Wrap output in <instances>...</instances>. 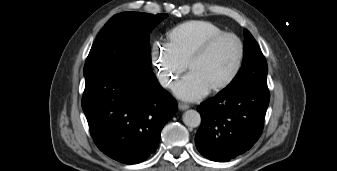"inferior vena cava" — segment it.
<instances>
[{"label": "inferior vena cava", "mask_w": 337, "mask_h": 171, "mask_svg": "<svg viewBox=\"0 0 337 171\" xmlns=\"http://www.w3.org/2000/svg\"><path fill=\"white\" fill-rule=\"evenodd\" d=\"M159 81H160V84L162 85V86H167L168 85V78L167 77H161L160 79H159Z\"/></svg>", "instance_id": "602c4592"}]
</instances>
